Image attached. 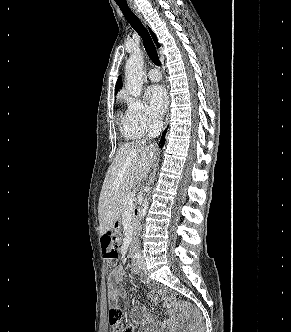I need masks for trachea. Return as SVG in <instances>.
I'll return each instance as SVG.
<instances>
[{
  "label": "trachea",
  "instance_id": "obj_1",
  "mask_svg": "<svg viewBox=\"0 0 291 332\" xmlns=\"http://www.w3.org/2000/svg\"><path fill=\"white\" fill-rule=\"evenodd\" d=\"M120 10L122 11L124 17L126 20L130 23V25L133 27V29L141 36L145 50L151 59V61L158 65L160 64L159 56L156 50V47L153 43V40L149 34V32L146 30V28L143 26L141 21L138 19V17L130 10L127 3H117Z\"/></svg>",
  "mask_w": 291,
  "mask_h": 332
}]
</instances>
